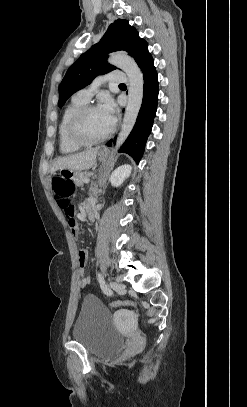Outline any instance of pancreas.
<instances>
[{
    "instance_id": "obj_1",
    "label": "pancreas",
    "mask_w": 247,
    "mask_h": 407,
    "mask_svg": "<svg viewBox=\"0 0 247 407\" xmlns=\"http://www.w3.org/2000/svg\"><path fill=\"white\" fill-rule=\"evenodd\" d=\"M91 173L89 172H82L79 173L73 180L77 186H82L85 183V179L89 178Z\"/></svg>"
}]
</instances>
